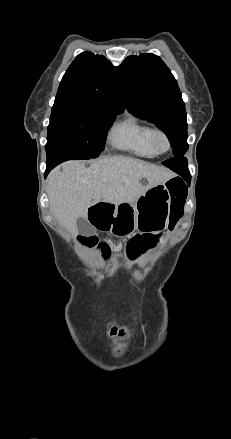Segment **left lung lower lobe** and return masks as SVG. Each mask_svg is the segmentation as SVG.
<instances>
[{"label": "left lung lower lobe", "instance_id": "obj_1", "mask_svg": "<svg viewBox=\"0 0 231 439\" xmlns=\"http://www.w3.org/2000/svg\"><path fill=\"white\" fill-rule=\"evenodd\" d=\"M179 175H181L189 184L191 180V175L187 166V159L185 157H174L163 163Z\"/></svg>", "mask_w": 231, "mask_h": 439}]
</instances>
